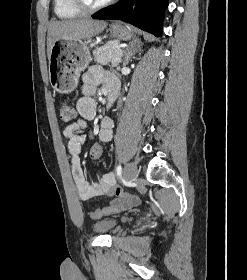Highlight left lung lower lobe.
I'll return each instance as SVG.
<instances>
[{
	"label": "left lung lower lobe",
	"mask_w": 247,
	"mask_h": 280,
	"mask_svg": "<svg viewBox=\"0 0 247 280\" xmlns=\"http://www.w3.org/2000/svg\"><path fill=\"white\" fill-rule=\"evenodd\" d=\"M167 6L168 0H119L93 18L120 19L160 37Z\"/></svg>",
	"instance_id": "0a47b994"
}]
</instances>
